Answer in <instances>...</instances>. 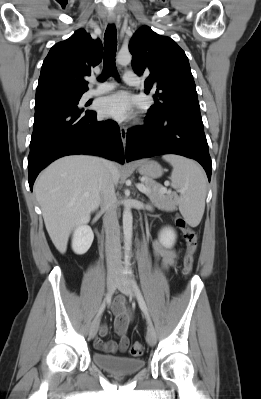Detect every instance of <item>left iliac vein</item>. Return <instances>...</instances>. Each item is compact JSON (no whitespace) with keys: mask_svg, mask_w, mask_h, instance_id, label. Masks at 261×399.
Segmentation results:
<instances>
[{"mask_svg":"<svg viewBox=\"0 0 261 399\" xmlns=\"http://www.w3.org/2000/svg\"><path fill=\"white\" fill-rule=\"evenodd\" d=\"M117 288L129 298H135L136 296L133 284L129 283L123 276L118 278ZM146 340L151 346L156 343V332L151 324L147 328Z\"/></svg>","mask_w":261,"mask_h":399,"instance_id":"left-iliac-vein-1","label":"left iliac vein"}]
</instances>
